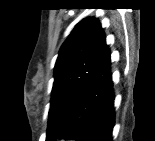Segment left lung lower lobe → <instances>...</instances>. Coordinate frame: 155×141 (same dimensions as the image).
I'll return each mask as SVG.
<instances>
[{"mask_svg":"<svg viewBox=\"0 0 155 141\" xmlns=\"http://www.w3.org/2000/svg\"><path fill=\"white\" fill-rule=\"evenodd\" d=\"M114 123L111 59L107 47L93 77L66 116L58 138L112 141Z\"/></svg>","mask_w":155,"mask_h":141,"instance_id":"1","label":"left lung lower lobe"}]
</instances>
